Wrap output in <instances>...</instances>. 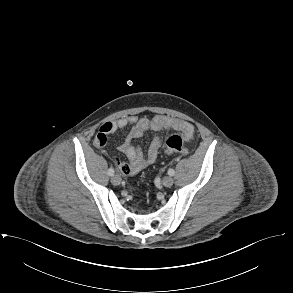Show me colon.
I'll use <instances>...</instances> for the list:
<instances>
[{"mask_svg":"<svg viewBox=\"0 0 293 293\" xmlns=\"http://www.w3.org/2000/svg\"><path fill=\"white\" fill-rule=\"evenodd\" d=\"M192 142L181 135H171L163 145L166 154H188L191 150Z\"/></svg>","mask_w":293,"mask_h":293,"instance_id":"obj_1","label":"colon"}]
</instances>
